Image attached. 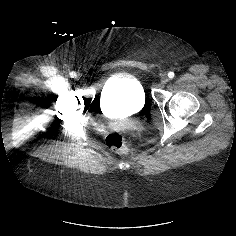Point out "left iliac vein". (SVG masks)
<instances>
[{"mask_svg": "<svg viewBox=\"0 0 236 236\" xmlns=\"http://www.w3.org/2000/svg\"><path fill=\"white\" fill-rule=\"evenodd\" d=\"M162 84H166L169 81L167 74H163L160 78Z\"/></svg>", "mask_w": 236, "mask_h": 236, "instance_id": "1", "label": "left iliac vein"}]
</instances>
